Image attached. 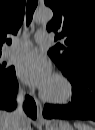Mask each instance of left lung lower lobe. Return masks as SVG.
I'll use <instances>...</instances> for the list:
<instances>
[{"label": "left lung lower lobe", "mask_w": 95, "mask_h": 130, "mask_svg": "<svg viewBox=\"0 0 95 130\" xmlns=\"http://www.w3.org/2000/svg\"><path fill=\"white\" fill-rule=\"evenodd\" d=\"M68 79L72 84V102L62 106L46 104L43 116L95 120V68H84Z\"/></svg>", "instance_id": "1"}]
</instances>
